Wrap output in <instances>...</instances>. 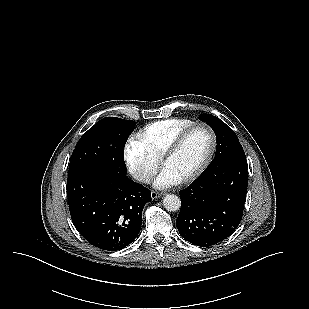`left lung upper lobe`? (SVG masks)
Segmentation results:
<instances>
[{
  "label": "left lung upper lobe",
  "mask_w": 309,
  "mask_h": 309,
  "mask_svg": "<svg viewBox=\"0 0 309 309\" xmlns=\"http://www.w3.org/2000/svg\"><path fill=\"white\" fill-rule=\"evenodd\" d=\"M199 118L210 125L216 133L217 149L211 164L227 156L244 153L237 135L222 120L211 114H201Z\"/></svg>",
  "instance_id": "left-lung-upper-lobe-1"
}]
</instances>
